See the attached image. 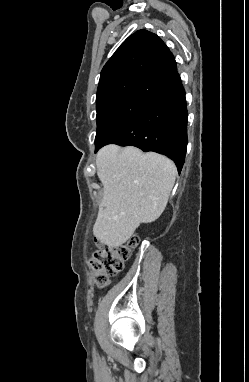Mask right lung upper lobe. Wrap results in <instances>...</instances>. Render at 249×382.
Segmentation results:
<instances>
[{
    "label": "right lung upper lobe",
    "instance_id": "obj_1",
    "mask_svg": "<svg viewBox=\"0 0 249 382\" xmlns=\"http://www.w3.org/2000/svg\"><path fill=\"white\" fill-rule=\"evenodd\" d=\"M179 79L175 58L160 37L138 30L103 67L96 108L125 98L151 101Z\"/></svg>",
    "mask_w": 249,
    "mask_h": 382
}]
</instances>
